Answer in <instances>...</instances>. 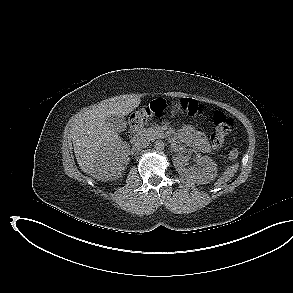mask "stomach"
Segmentation results:
<instances>
[{
	"mask_svg": "<svg viewBox=\"0 0 293 293\" xmlns=\"http://www.w3.org/2000/svg\"><path fill=\"white\" fill-rule=\"evenodd\" d=\"M179 105L177 104L175 107H174V109L176 110V109H179Z\"/></svg>",
	"mask_w": 293,
	"mask_h": 293,
	"instance_id": "0dacf381",
	"label": "stomach"
}]
</instances>
